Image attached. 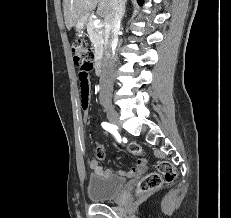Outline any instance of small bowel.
<instances>
[{"mask_svg": "<svg viewBox=\"0 0 231 218\" xmlns=\"http://www.w3.org/2000/svg\"><path fill=\"white\" fill-rule=\"evenodd\" d=\"M91 70H93V60H88V63H83L82 66H78L76 73L78 74L79 82H80V98L83 109L87 108L89 93H90V83H89V74H91ZM96 154L97 158H92L89 160V167L96 174L102 176H108L111 172L107 169H104L100 165V160L104 158V149L102 145L99 143L96 144ZM147 168L146 160L143 158H139L137 160L136 165L128 171L120 170L118 171V175L124 177H136L142 173Z\"/></svg>", "mask_w": 231, "mask_h": 218, "instance_id": "1", "label": "small bowel"}]
</instances>
